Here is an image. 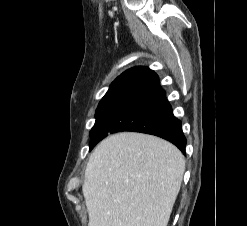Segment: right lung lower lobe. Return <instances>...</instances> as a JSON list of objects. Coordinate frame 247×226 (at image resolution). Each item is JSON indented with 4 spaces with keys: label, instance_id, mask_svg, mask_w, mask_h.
Masks as SVG:
<instances>
[{
    "label": "right lung lower lobe",
    "instance_id": "1",
    "mask_svg": "<svg viewBox=\"0 0 247 226\" xmlns=\"http://www.w3.org/2000/svg\"><path fill=\"white\" fill-rule=\"evenodd\" d=\"M135 131L164 138L185 153L181 122L172 112L156 73L134 67L122 73L95 125L90 150L110 133Z\"/></svg>",
    "mask_w": 247,
    "mask_h": 226
}]
</instances>
